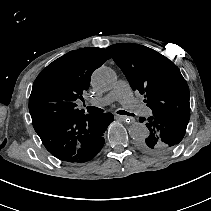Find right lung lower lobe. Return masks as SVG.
Returning a JSON list of instances; mask_svg holds the SVG:
<instances>
[{"label":"right lung lower lobe","mask_w":211,"mask_h":211,"mask_svg":"<svg viewBox=\"0 0 211 211\" xmlns=\"http://www.w3.org/2000/svg\"><path fill=\"white\" fill-rule=\"evenodd\" d=\"M113 119L111 113H83L45 127L37 134L54 157L67 163H85L102 149L103 134Z\"/></svg>","instance_id":"98d812e1"}]
</instances>
